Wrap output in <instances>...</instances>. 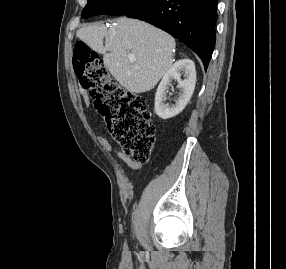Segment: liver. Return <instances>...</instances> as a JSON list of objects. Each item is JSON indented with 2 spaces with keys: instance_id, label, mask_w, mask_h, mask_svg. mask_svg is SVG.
<instances>
[{
  "instance_id": "1",
  "label": "liver",
  "mask_w": 286,
  "mask_h": 269,
  "mask_svg": "<svg viewBox=\"0 0 286 269\" xmlns=\"http://www.w3.org/2000/svg\"><path fill=\"white\" fill-rule=\"evenodd\" d=\"M77 37L103 54L105 67L132 93L153 89L173 63L174 38L137 19L119 18L109 30L95 23L80 28ZM128 55H133L135 61H129Z\"/></svg>"
}]
</instances>
